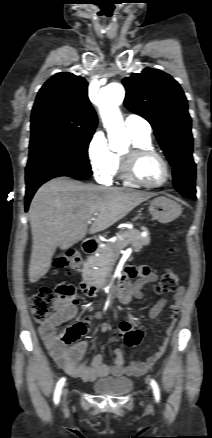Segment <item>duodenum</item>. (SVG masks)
<instances>
[{
    "label": "duodenum",
    "instance_id": "410a0bca",
    "mask_svg": "<svg viewBox=\"0 0 212 438\" xmlns=\"http://www.w3.org/2000/svg\"><path fill=\"white\" fill-rule=\"evenodd\" d=\"M98 249V240L96 238H89L83 241L82 250L87 254H94ZM81 287L84 292L89 295H96L102 288L98 283L90 281L87 277L81 282Z\"/></svg>",
    "mask_w": 212,
    "mask_h": 438
}]
</instances>
